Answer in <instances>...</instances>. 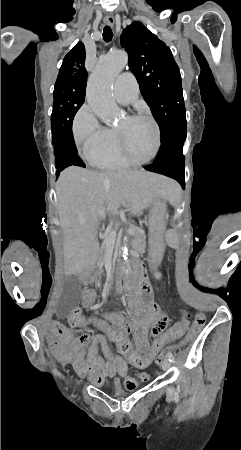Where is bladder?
I'll use <instances>...</instances> for the list:
<instances>
[{
	"mask_svg": "<svg viewBox=\"0 0 241 450\" xmlns=\"http://www.w3.org/2000/svg\"><path fill=\"white\" fill-rule=\"evenodd\" d=\"M116 394L119 395V396H121V395L124 394V392H123V391H117Z\"/></svg>",
	"mask_w": 241,
	"mask_h": 450,
	"instance_id": "1",
	"label": "bladder"
}]
</instances>
